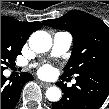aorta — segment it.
<instances>
[{"label":"aorta","instance_id":"obj_1","mask_svg":"<svg viewBox=\"0 0 109 109\" xmlns=\"http://www.w3.org/2000/svg\"><path fill=\"white\" fill-rule=\"evenodd\" d=\"M29 46L36 53L47 52L52 46V38L46 31H35L29 37ZM61 95V89L57 86H52L46 91V97L51 102H58Z\"/></svg>","mask_w":109,"mask_h":109}]
</instances>
